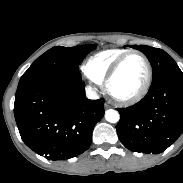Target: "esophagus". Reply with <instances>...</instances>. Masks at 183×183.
Masks as SVG:
<instances>
[{
	"label": "esophagus",
	"mask_w": 183,
	"mask_h": 183,
	"mask_svg": "<svg viewBox=\"0 0 183 183\" xmlns=\"http://www.w3.org/2000/svg\"><path fill=\"white\" fill-rule=\"evenodd\" d=\"M104 107H105V109H108V108H110V105H109V103H105Z\"/></svg>",
	"instance_id": "esophagus-1"
}]
</instances>
